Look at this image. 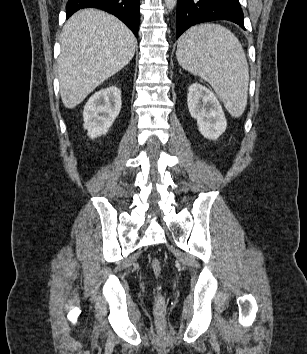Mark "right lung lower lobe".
I'll return each mask as SVG.
<instances>
[{
	"instance_id": "right-lung-lower-lobe-1",
	"label": "right lung lower lobe",
	"mask_w": 307,
	"mask_h": 354,
	"mask_svg": "<svg viewBox=\"0 0 307 354\" xmlns=\"http://www.w3.org/2000/svg\"><path fill=\"white\" fill-rule=\"evenodd\" d=\"M140 0H68L66 17L83 8H98L105 10L125 23L138 36L140 21Z\"/></svg>"
}]
</instances>
